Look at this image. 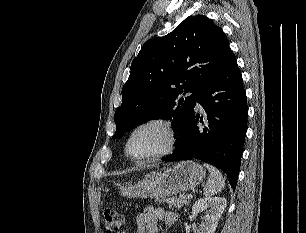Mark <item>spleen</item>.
<instances>
[{
    "label": "spleen",
    "instance_id": "3e777b00",
    "mask_svg": "<svg viewBox=\"0 0 306 233\" xmlns=\"http://www.w3.org/2000/svg\"><path fill=\"white\" fill-rule=\"evenodd\" d=\"M209 171V178L203 190L206 197H211L225 188V180L220 171L210 164H204Z\"/></svg>",
    "mask_w": 306,
    "mask_h": 233
}]
</instances>
